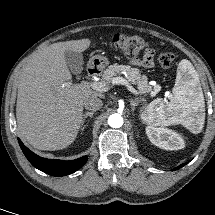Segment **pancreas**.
Wrapping results in <instances>:
<instances>
[{
    "mask_svg": "<svg viewBox=\"0 0 215 215\" xmlns=\"http://www.w3.org/2000/svg\"><path fill=\"white\" fill-rule=\"evenodd\" d=\"M120 73H125L127 79L131 83L137 85L139 93L141 94H150L151 96H155L161 89V87L158 85L152 88V86L148 84L147 76L141 75L140 70L138 68H133L129 65H110L102 75V82H104L108 86L110 83H112L113 79Z\"/></svg>",
    "mask_w": 215,
    "mask_h": 215,
    "instance_id": "pancreas-1",
    "label": "pancreas"
}]
</instances>
